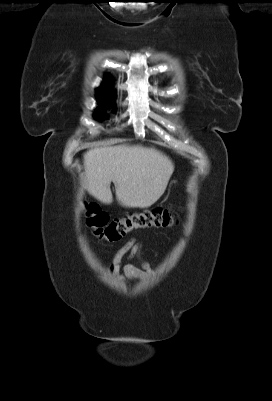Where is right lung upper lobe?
<instances>
[{"label":"right lung upper lobe","instance_id":"right-lung-upper-lobe-1","mask_svg":"<svg viewBox=\"0 0 272 401\" xmlns=\"http://www.w3.org/2000/svg\"><path fill=\"white\" fill-rule=\"evenodd\" d=\"M97 92H98L97 98L99 101L107 100L106 96L109 93V89L107 88V86H104V88H98Z\"/></svg>","mask_w":272,"mask_h":401}]
</instances>
